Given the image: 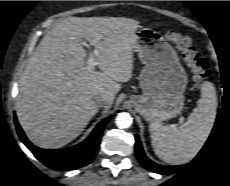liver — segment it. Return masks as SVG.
I'll use <instances>...</instances> for the list:
<instances>
[{
    "instance_id": "6515ba94",
    "label": "liver",
    "mask_w": 230,
    "mask_h": 186,
    "mask_svg": "<svg viewBox=\"0 0 230 186\" xmlns=\"http://www.w3.org/2000/svg\"><path fill=\"white\" fill-rule=\"evenodd\" d=\"M139 21L125 17H68L56 23L32 54L20 79L18 121L29 140L44 149L78 137L98 112L104 95L110 109L133 73ZM82 38L94 46L100 72L87 70Z\"/></svg>"
}]
</instances>
